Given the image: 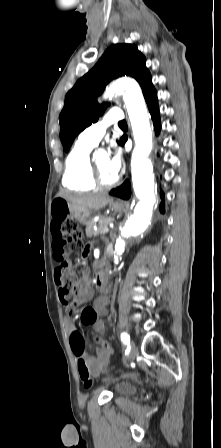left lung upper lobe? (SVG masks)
<instances>
[{"label":"left lung upper lobe","instance_id":"5c2ea615","mask_svg":"<svg viewBox=\"0 0 221 448\" xmlns=\"http://www.w3.org/2000/svg\"><path fill=\"white\" fill-rule=\"evenodd\" d=\"M145 64L146 59L136 45H111L98 63L76 82L67 93L59 116L60 139L65 152L69 151L75 137L103 114L107 105H99L97 96L112 79L131 76L139 82L143 94L153 88Z\"/></svg>","mask_w":221,"mask_h":448}]
</instances>
